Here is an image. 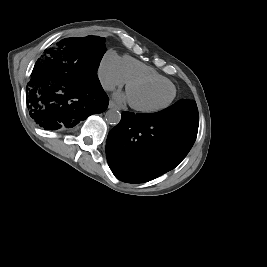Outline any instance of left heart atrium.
Returning a JSON list of instances; mask_svg holds the SVG:
<instances>
[{
	"mask_svg": "<svg viewBox=\"0 0 267 267\" xmlns=\"http://www.w3.org/2000/svg\"><path fill=\"white\" fill-rule=\"evenodd\" d=\"M116 99L119 100V101H123V100L126 99V97L123 96V95L118 94V95H116Z\"/></svg>",
	"mask_w": 267,
	"mask_h": 267,
	"instance_id": "1",
	"label": "left heart atrium"
}]
</instances>
